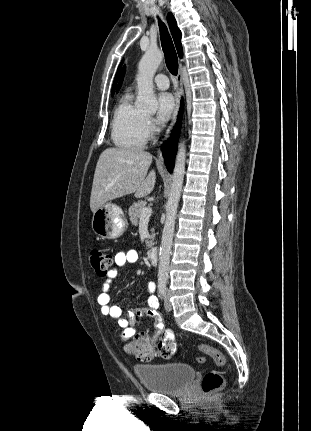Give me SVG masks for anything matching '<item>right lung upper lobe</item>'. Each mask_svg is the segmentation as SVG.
Segmentation results:
<instances>
[{"label":"right lung upper lobe","instance_id":"cb5924a9","mask_svg":"<svg viewBox=\"0 0 311 431\" xmlns=\"http://www.w3.org/2000/svg\"><path fill=\"white\" fill-rule=\"evenodd\" d=\"M167 22H168V25H169V28H170V31H171V34H172V37H173V40H174L177 52H178V55H179L180 58H182V56H183V50H182V45H181V31L177 27L176 20H175L174 16L172 15V13H168V15H167ZM121 65H122V63L120 64V66L118 68V71H117V74H116V77H115V80H114V84H113V87H112V96L114 94V89H115V86H116V82H117V78H118V73H119V69H120Z\"/></svg>","mask_w":311,"mask_h":431}]
</instances>
